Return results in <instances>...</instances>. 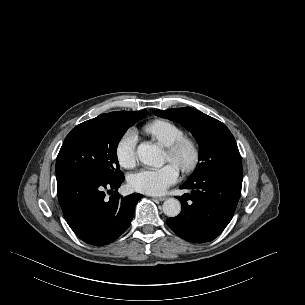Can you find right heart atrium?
Here are the masks:
<instances>
[{"mask_svg": "<svg viewBox=\"0 0 305 305\" xmlns=\"http://www.w3.org/2000/svg\"><path fill=\"white\" fill-rule=\"evenodd\" d=\"M137 135L134 130H128L118 141L116 157L122 168L131 169L137 162Z\"/></svg>", "mask_w": 305, "mask_h": 305, "instance_id": "d8ad5b80", "label": "right heart atrium"}]
</instances>
